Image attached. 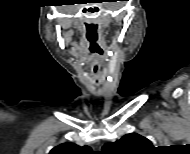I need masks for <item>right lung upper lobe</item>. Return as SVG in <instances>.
<instances>
[{
  "label": "right lung upper lobe",
  "instance_id": "1",
  "mask_svg": "<svg viewBox=\"0 0 190 154\" xmlns=\"http://www.w3.org/2000/svg\"><path fill=\"white\" fill-rule=\"evenodd\" d=\"M90 152L91 149L88 146L80 147L74 143H64L54 147L49 154H83Z\"/></svg>",
  "mask_w": 190,
  "mask_h": 154
}]
</instances>
